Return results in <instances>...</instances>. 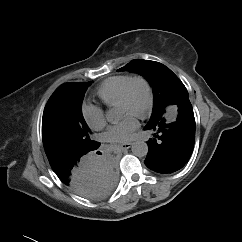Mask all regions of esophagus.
<instances>
[{
	"mask_svg": "<svg viewBox=\"0 0 242 242\" xmlns=\"http://www.w3.org/2000/svg\"><path fill=\"white\" fill-rule=\"evenodd\" d=\"M132 143H124L120 145V148L125 151L131 147Z\"/></svg>",
	"mask_w": 242,
	"mask_h": 242,
	"instance_id": "obj_1",
	"label": "esophagus"
}]
</instances>
